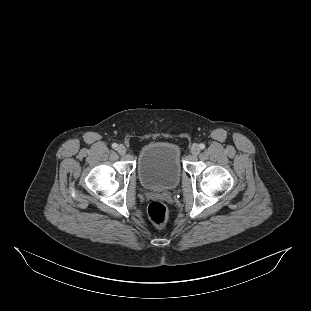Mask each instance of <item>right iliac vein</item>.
Returning a JSON list of instances; mask_svg holds the SVG:
<instances>
[{"mask_svg": "<svg viewBox=\"0 0 311 311\" xmlns=\"http://www.w3.org/2000/svg\"><path fill=\"white\" fill-rule=\"evenodd\" d=\"M117 151H118L119 154L123 155V154L126 153V148H125L124 145H119V146L117 147Z\"/></svg>", "mask_w": 311, "mask_h": 311, "instance_id": "1", "label": "right iliac vein"}]
</instances>
